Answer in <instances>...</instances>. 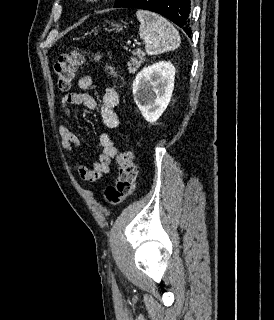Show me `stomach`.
Returning <instances> with one entry per match:
<instances>
[{
  "label": "stomach",
  "mask_w": 274,
  "mask_h": 320,
  "mask_svg": "<svg viewBox=\"0 0 274 320\" xmlns=\"http://www.w3.org/2000/svg\"><path fill=\"white\" fill-rule=\"evenodd\" d=\"M114 28L113 30H117V32H120V30H123V26L121 24H113ZM113 30H109V32H113Z\"/></svg>",
  "instance_id": "obj_1"
}]
</instances>
